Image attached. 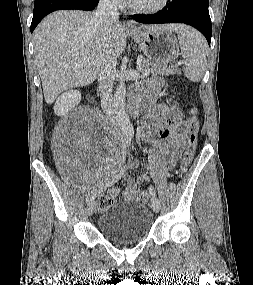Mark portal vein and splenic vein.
<instances>
[{
  "mask_svg": "<svg viewBox=\"0 0 253 285\" xmlns=\"http://www.w3.org/2000/svg\"><path fill=\"white\" fill-rule=\"evenodd\" d=\"M150 74V70L149 69H145L142 71V77H147Z\"/></svg>",
  "mask_w": 253,
  "mask_h": 285,
  "instance_id": "1",
  "label": "portal vein and splenic vein"
}]
</instances>
